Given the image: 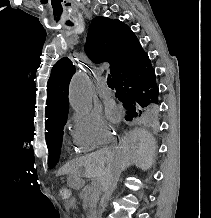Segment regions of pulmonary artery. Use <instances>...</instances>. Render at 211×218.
<instances>
[{
	"label": "pulmonary artery",
	"mask_w": 211,
	"mask_h": 218,
	"mask_svg": "<svg viewBox=\"0 0 211 218\" xmlns=\"http://www.w3.org/2000/svg\"><path fill=\"white\" fill-rule=\"evenodd\" d=\"M99 95L103 98H107L112 95V90L107 85V80L105 78H101L99 80Z\"/></svg>",
	"instance_id": "pulmonary-artery-1"
}]
</instances>
